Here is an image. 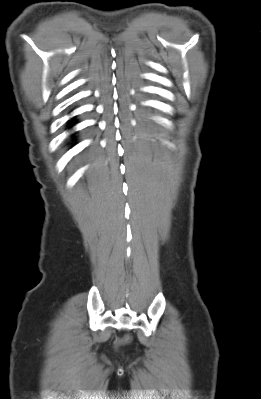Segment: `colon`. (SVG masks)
Listing matches in <instances>:
<instances>
[{"label": "colon", "instance_id": "1", "mask_svg": "<svg viewBox=\"0 0 261 399\" xmlns=\"http://www.w3.org/2000/svg\"><path fill=\"white\" fill-rule=\"evenodd\" d=\"M127 341H129V338H128V337H126V338H124L123 340H121V342H127Z\"/></svg>", "mask_w": 261, "mask_h": 399}]
</instances>
